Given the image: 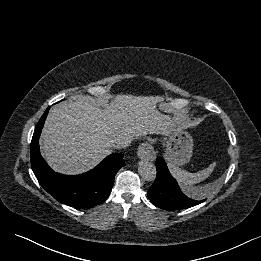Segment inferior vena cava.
Returning <instances> with one entry per match:
<instances>
[{
	"label": "inferior vena cava",
	"instance_id": "obj_1",
	"mask_svg": "<svg viewBox=\"0 0 261 261\" xmlns=\"http://www.w3.org/2000/svg\"><path fill=\"white\" fill-rule=\"evenodd\" d=\"M130 141L127 139H117L114 143H113V147L115 149H123L127 146H129Z\"/></svg>",
	"mask_w": 261,
	"mask_h": 261
}]
</instances>
